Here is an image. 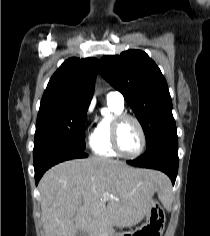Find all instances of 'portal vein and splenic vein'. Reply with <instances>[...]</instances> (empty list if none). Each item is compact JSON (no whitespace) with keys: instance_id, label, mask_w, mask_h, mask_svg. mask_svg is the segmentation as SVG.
Returning <instances> with one entry per match:
<instances>
[{"instance_id":"1","label":"portal vein and splenic vein","mask_w":210,"mask_h":236,"mask_svg":"<svg viewBox=\"0 0 210 236\" xmlns=\"http://www.w3.org/2000/svg\"><path fill=\"white\" fill-rule=\"evenodd\" d=\"M107 197H108V198H114V197H113V196H111V195H110V196H107ZM107 197H105V198H107Z\"/></svg>"}]
</instances>
